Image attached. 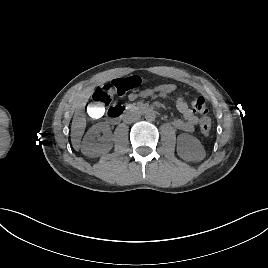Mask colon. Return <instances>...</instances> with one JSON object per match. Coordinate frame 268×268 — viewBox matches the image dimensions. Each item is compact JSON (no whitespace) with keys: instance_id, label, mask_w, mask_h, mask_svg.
I'll return each instance as SVG.
<instances>
[{"instance_id":"obj_1","label":"colon","mask_w":268,"mask_h":268,"mask_svg":"<svg viewBox=\"0 0 268 268\" xmlns=\"http://www.w3.org/2000/svg\"><path fill=\"white\" fill-rule=\"evenodd\" d=\"M141 84L138 76L118 78L99 87L93 94V101L109 105L115 95L122 96L126 92L137 88ZM192 110L200 115L199 128L204 136H208L212 129V121L204 97L199 96L191 101Z\"/></svg>"}]
</instances>
